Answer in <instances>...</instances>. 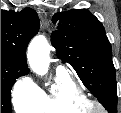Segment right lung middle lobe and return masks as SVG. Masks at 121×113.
<instances>
[{
    "mask_svg": "<svg viewBox=\"0 0 121 113\" xmlns=\"http://www.w3.org/2000/svg\"><path fill=\"white\" fill-rule=\"evenodd\" d=\"M28 72L21 66L1 58V113H11L10 92L15 80Z\"/></svg>",
    "mask_w": 121,
    "mask_h": 113,
    "instance_id": "right-lung-middle-lobe-1",
    "label": "right lung middle lobe"
}]
</instances>
